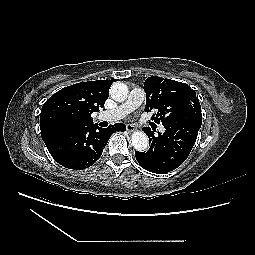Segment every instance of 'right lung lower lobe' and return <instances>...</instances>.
Returning <instances> with one entry per match:
<instances>
[{"mask_svg": "<svg viewBox=\"0 0 255 255\" xmlns=\"http://www.w3.org/2000/svg\"><path fill=\"white\" fill-rule=\"evenodd\" d=\"M125 130L126 126L121 123L108 128H100L97 124H93L61 133L46 146L60 165L82 170L90 167L100 158L112 133Z\"/></svg>", "mask_w": 255, "mask_h": 255, "instance_id": "98d812e1", "label": "right lung lower lobe"}]
</instances>
